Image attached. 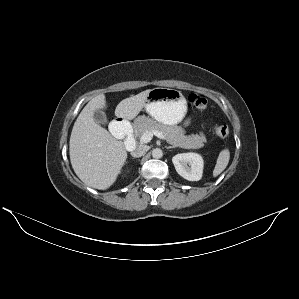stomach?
<instances>
[{"mask_svg":"<svg viewBox=\"0 0 299 299\" xmlns=\"http://www.w3.org/2000/svg\"><path fill=\"white\" fill-rule=\"evenodd\" d=\"M144 107L154 120L175 125L185 117L187 101L181 91L159 87L150 90Z\"/></svg>","mask_w":299,"mask_h":299,"instance_id":"stomach-1","label":"stomach"}]
</instances>
